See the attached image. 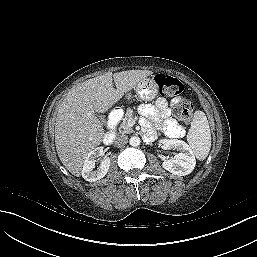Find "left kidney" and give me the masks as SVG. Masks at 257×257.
<instances>
[{"mask_svg": "<svg viewBox=\"0 0 257 257\" xmlns=\"http://www.w3.org/2000/svg\"><path fill=\"white\" fill-rule=\"evenodd\" d=\"M159 145L166 150H177L174 158H166L162 166L174 175L185 176L190 174L196 165V159L188 144L178 139H162Z\"/></svg>", "mask_w": 257, "mask_h": 257, "instance_id": "1", "label": "left kidney"}]
</instances>
